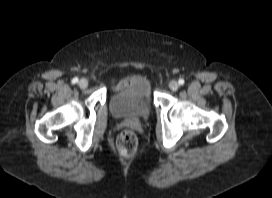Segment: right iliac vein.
<instances>
[{
    "mask_svg": "<svg viewBox=\"0 0 272 198\" xmlns=\"http://www.w3.org/2000/svg\"><path fill=\"white\" fill-rule=\"evenodd\" d=\"M78 85H79L80 88L84 89V88H86L88 86V81L83 78V79H81L79 81Z\"/></svg>",
    "mask_w": 272,
    "mask_h": 198,
    "instance_id": "1",
    "label": "right iliac vein"
}]
</instances>
